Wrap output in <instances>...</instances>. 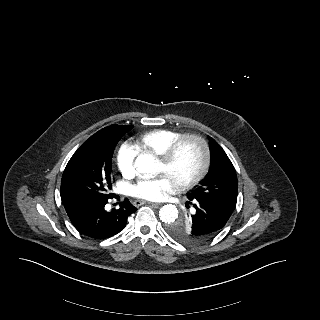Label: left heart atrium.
Returning <instances> with one entry per match:
<instances>
[{
  "label": "left heart atrium",
  "mask_w": 320,
  "mask_h": 320,
  "mask_svg": "<svg viewBox=\"0 0 320 320\" xmlns=\"http://www.w3.org/2000/svg\"><path fill=\"white\" fill-rule=\"evenodd\" d=\"M175 190L174 183L166 175L157 178H140L131 186L134 197L145 200H160Z\"/></svg>",
  "instance_id": "39dd6f15"
}]
</instances>
